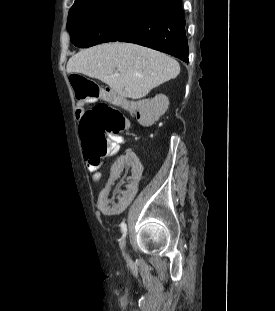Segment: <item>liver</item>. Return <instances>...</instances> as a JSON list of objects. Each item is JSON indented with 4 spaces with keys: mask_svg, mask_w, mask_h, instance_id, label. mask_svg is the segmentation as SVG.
<instances>
[{
    "mask_svg": "<svg viewBox=\"0 0 275 311\" xmlns=\"http://www.w3.org/2000/svg\"><path fill=\"white\" fill-rule=\"evenodd\" d=\"M67 72L99 79L123 97L140 99L158 85L177 77L180 65L153 49L115 42L73 55L67 63Z\"/></svg>",
    "mask_w": 275,
    "mask_h": 311,
    "instance_id": "liver-1",
    "label": "liver"
}]
</instances>
